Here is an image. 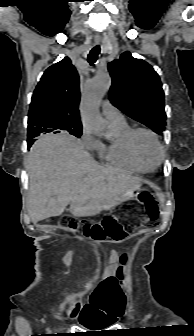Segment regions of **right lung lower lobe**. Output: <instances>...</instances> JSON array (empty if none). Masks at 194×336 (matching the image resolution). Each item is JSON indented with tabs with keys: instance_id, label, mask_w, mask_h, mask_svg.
<instances>
[{
	"instance_id": "98d812e1",
	"label": "right lung lower lobe",
	"mask_w": 194,
	"mask_h": 336,
	"mask_svg": "<svg viewBox=\"0 0 194 336\" xmlns=\"http://www.w3.org/2000/svg\"><path fill=\"white\" fill-rule=\"evenodd\" d=\"M31 145H32V144H28V148H30Z\"/></svg>"
}]
</instances>
